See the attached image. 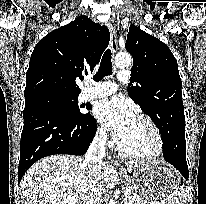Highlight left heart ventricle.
I'll list each match as a JSON object with an SVG mask.
<instances>
[{"instance_id": "obj_1", "label": "left heart ventricle", "mask_w": 206, "mask_h": 204, "mask_svg": "<svg viewBox=\"0 0 206 204\" xmlns=\"http://www.w3.org/2000/svg\"><path fill=\"white\" fill-rule=\"evenodd\" d=\"M124 146L136 154H151L156 149V138L149 125L135 117L127 134L121 139Z\"/></svg>"}]
</instances>
